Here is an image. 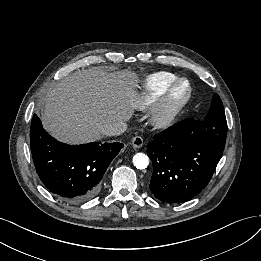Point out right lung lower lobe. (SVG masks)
<instances>
[{
  "label": "right lung lower lobe",
  "mask_w": 261,
  "mask_h": 261,
  "mask_svg": "<svg viewBox=\"0 0 261 261\" xmlns=\"http://www.w3.org/2000/svg\"><path fill=\"white\" fill-rule=\"evenodd\" d=\"M30 147L36 171L43 184L58 197L80 202L93 197L122 143L92 142L67 145L56 141L33 115Z\"/></svg>",
  "instance_id": "98d812e1"
}]
</instances>
